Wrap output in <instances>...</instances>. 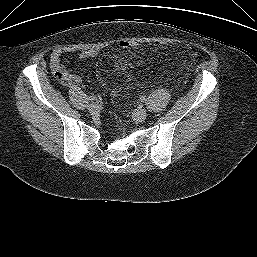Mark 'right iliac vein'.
Listing matches in <instances>:
<instances>
[{"instance_id":"63e3f726","label":"right iliac vein","mask_w":257,"mask_h":257,"mask_svg":"<svg viewBox=\"0 0 257 257\" xmlns=\"http://www.w3.org/2000/svg\"><path fill=\"white\" fill-rule=\"evenodd\" d=\"M88 110L91 114H96L99 112V107L96 104H90Z\"/></svg>"}]
</instances>
